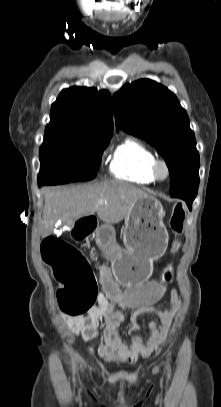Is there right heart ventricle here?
Wrapping results in <instances>:
<instances>
[{"label": "right heart ventricle", "instance_id": "1", "mask_svg": "<svg viewBox=\"0 0 221 407\" xmlns=\"http://www.w3.org/2000/svg\"><path fill=\"white\" fill-rule=\"evenodd\" d=\"M155 154L143 143L128 138L115 150L110 163L114 177L140 185H149L156 180L152 174Z\"/></svg>", "mask_w": 221, "mask_h": 407}]
</instances>
